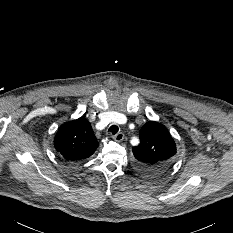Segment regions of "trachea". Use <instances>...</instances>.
Masks as SVG:
<instances>
[{
  "instance_id": "3493384b",
  "label": "trachea",
  "mask_w": 233,
  "mask_h": 233,
  "mask_svg": "<svg viewBox=\"0 0 233 233\" xmlns=\"http://www.w3.org/2000/svg\"><path fill=\"white\" fill-rule=\"evenodd\" d=\"M119 128L116 125H112L108 131L111 132L113 135H115L118 132Z\"/></svg>"
}]
</instances>
